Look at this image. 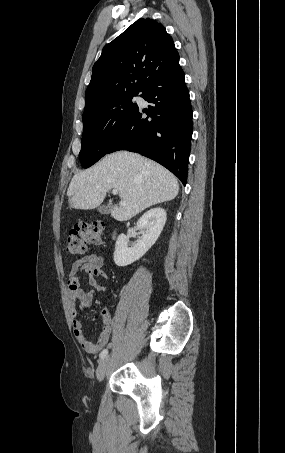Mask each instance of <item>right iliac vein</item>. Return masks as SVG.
I'll use <instances>...</instances> for the list:
<instances>
[{"instance_id": "obj_1", "label": "right iliac vein", "mask_w": 285, "mask_h": 453, "mask_svg": "<svg viewBox=\"0 0 285 453\" xmlns=\"http://www.w3.org/2000/svg\"><path fill=\"white\" fill-rule=\"evenodd\" d=\"M109 361H110L109 356H106L101 360V362L97 368V371H96V378H97L98 382H101L104 379L108 366H109Z\"/></svg>"}]
</instances>
